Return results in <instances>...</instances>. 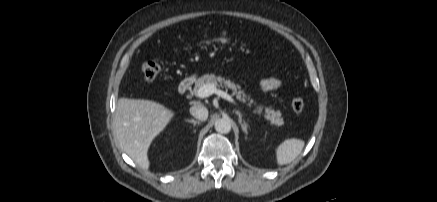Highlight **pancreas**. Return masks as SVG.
I'll use <instances>...</instances> for the list:
<instances>
[{
    "instance_id": "obj_1",
    "label": "pancreas",
    "mask_w": 437,
    "mask_h": 202,
    "mask_svg": "<svg viewBox=\"0 0 437 202\" xmlns=\"http://www.w3.org/2000/svg\"><path fill=\"white\" fill-rule=\"evenodd\" d=\"M206 84H213L215 87H221V88H228L232 90V94L236 96L237 99L241 101L249 100V105H251L254 100L250 98V96H247L245 94L244 90H241V86L238 84H235L234 82L230 80H226L225 78H222L220 76H216L214 74H206L202 77L198 78L195 82V87L192 91L193 94H197V91L199 88ZM263 106L257 107V110H255V113L261 114L263 112ZM282 113L277 110L275 111L272 107H265L264 108V117L270 121L271 125L275 126H282L284 125V120L281 118Z\"/></svg>"
}]
</instances>
